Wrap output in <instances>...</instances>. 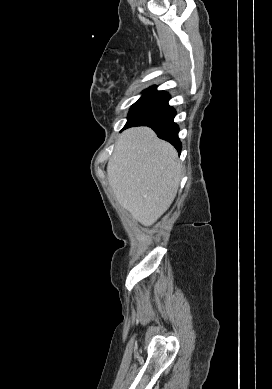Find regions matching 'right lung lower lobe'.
Returning a JSON list of instances; mask_svg holds the SVG:
<instances>
[{"label": "right lung lower lobe", "mask_w": 272, "mask_h": 389, "mask_svg": "<svg viewBox=\"0 0 272 389\" xmlns=\"http://www.w3.org/2000/svg\"><path fill=\"white\" fill-rule=\"evenodd\" d=\"M169 99L168 93L157 91L128 114V121L123 129L132 126H149L159 138L170 142L180 153L179 127L173 121L176 111L169 106Z\"/></svg>", "instance_id": "right-lung-lower-lobe-1"}]
</instances>
